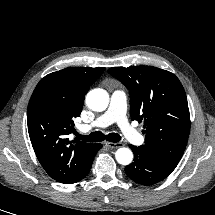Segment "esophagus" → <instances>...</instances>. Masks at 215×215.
<instances>
[{
	"label": "esophagus",
	"mask_w": 215,
	"mask_h": 215,
	"mask_svg": "<svg viewBox=\"0 0 215 215\" xmlns=\"http://www.w3.org/2000/svg\"><path fill=\"white\" fill-rule=\"evenodd\" d=\"M105 145L111 149H116V148H120L123 146V144L121 142H117V143L105 142Z\"/></svg>",
	"instance_id": "esophagus-1"
}]
</instances>
